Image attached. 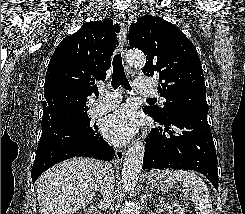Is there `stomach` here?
<instances>
[{
  "instance_id": "stomach-1",
  "label": "stomach",
  "mask_w": 245,
  "mask_h": 214,
  "mask_svg": "<svg viewBox=\"0 0 245 214\" xmlns=\"http://www.w3.org/2000/svg\"><path fill=\"white\" fill-rule=\"evenodd\" d=\"M148 183H150L153 188L164 192L174 187L175 180L171 171L156 170L150 173Z\"/></svg>"
}]
</instances>
